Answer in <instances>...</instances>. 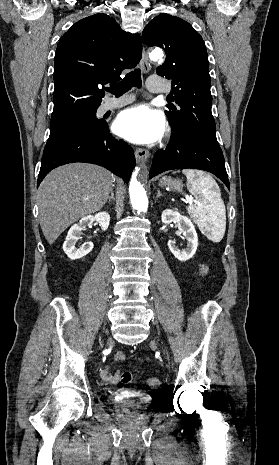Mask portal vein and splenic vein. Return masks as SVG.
<instances>
[{"instance_id": "portal-vein-and-splenic-vein-1", "label": "portal vein and splenic vein", "mask_w": 279, "mask_h": 465, "mask_svg": "<svg viewBox=\"0 0 279 465\" xmlns=\"http://www.w3.org/2000/svg\"><path fill=\"white\" fill-rule=\"evenodd\" d=\"M87 199H88V198H86V200H87ZM187 201L191 203V202H192V198H191V197H187Z\"/></svg>"}]
</instances>
